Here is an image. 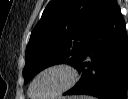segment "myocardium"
Masks as SVG:
<instances>
[{"label":"myocardium","mask_w":128,"mask_h":99,"mask_svg":"<svg viewBox=\"0 0 128 99\" xmlns=\"http://www.w3.org/2000/svg\"><path fill=\"white\" fill-rule=\"evenodd\" d=\"M51 70H64L67 72V74L69 75V80L68 82L59 90H57L55 93L48 95V96H44V97H35L32 94V89L33 86L36 82V80L44 73L51 71ZM79 80V72L78 69L71 63L68 62H58V63H53L50 64L48 66H45L44 68H42L41 70H39L36 75L33 77L30 85H29V96L31 98H43V99H52V98H56L58 96L63 95L64 93H66L67 91H69L71 88H73L75 86V84L78 82Z\"/></svg>","instance_id":"f54148a6"}]
</instances>
